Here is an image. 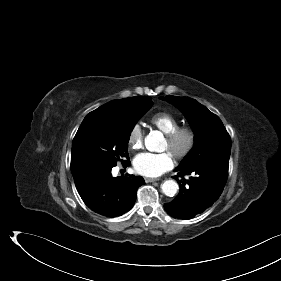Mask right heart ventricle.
<instances>
[{
  "label": "right heart ventricle",
  "instance_id": "obj_1",
  "mask_svg": "<svg viewBox=\"0 0 281 281\" xmlns=\"http://www.w3.org/2000/svg\"><path fill=\"white\" fill-rule=\"evenodd\" d=\"M150 123L164 134H168L179 127V120L169 112H158L154 114L150 118Z\"/></svg>",
  "mask_w": 281,
  "mask_h": 281
}]
</instances>
